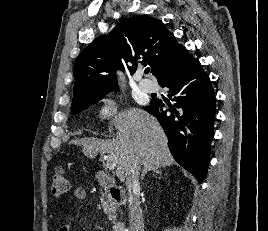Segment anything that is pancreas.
<instances>
[{"mask_svg":"<svg viewBox=\"0 0 268 231\" xmlns=\"http://www.w3.org/2000/svg\"><path fill=\"white\" fill-rule=\"evenodd\" d=\"M100 200L105 214L108 215V219L114 222L116 220L117 203L110 198L107 192L102 193Z\"/></svg>","mask_w":268,"mask_h":231,"instance_id":"cf45deb5","label":"pancreas"}]
</instances>
